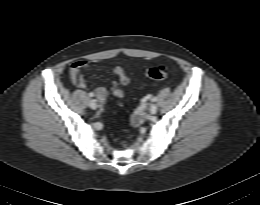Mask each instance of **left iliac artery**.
<instances>
[{
    "instance_id": "left-iliac-artery-1",
    "label": "left iliac artery",
    "mask_w": 260,
    "mask_h": 205,
    "mask_svg": "<svg viewBox=\"0 0 260 205\" xmlns=\"http://www.w3.org/2000/svg\"><path fill=\"white\" fill-rule=\"evenodd\" d=\"M151 100H152V102H156L157 101V97L154 96Z\"/></svg>"
}]
</instances>
